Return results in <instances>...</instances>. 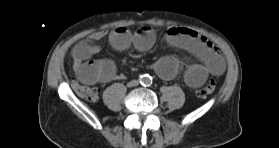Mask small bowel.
<instances>
[{
    "instance_id": "c3829d8e",
    "label": "small bowel",
    "mask_w": 279,
    "mask_h": 148,
    "mask_svg": "<svg viewBox=\"0 0 279 148\" xmlns=\"http://www.w3.org/2000/svg\"><path fill=\"white\" fill-rule=\"evenodd\" d=\"M107 35L105 31L90 34L72 49L74 70L77 78L85 84L109 83L120 79L115 64L109 59L91 60L100 50L96 44ZM111 45L119 51L134 46L140 51H147L155 43L152 28L142 26L134 33L125 27H117L108 34ZM166 41L175 47L184 49L196 56L200 63H192L186 67L184 79L188 86L196 88L202 85L209 75L220 76L225 71V62L217 48L204 36L184 27H171L166 33ZM157 74L166 79L174 78L181 70V62L174 56H164L154 65Z\"/></svg>"
}]
</instances>
